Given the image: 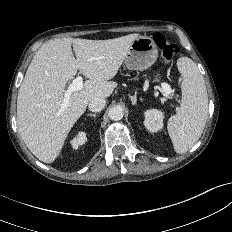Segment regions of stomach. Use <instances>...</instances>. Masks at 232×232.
Segmentation results:
<instances>
[{"mask_svg": "<svg viewBox=\"0 0 232 232\" xmlns=\"http://www.w3.org/2000/svg\"><path fill=\"white\" fill-rule=\"evenodd\" d=\"M158 57L156 43L151 37L139 36L131 44L125 57V65L131 70H146L150 68ZM161 75L154 74L153 82H160Z\"/></svg>", "mask_w": 232, "mask_h": 232, "instance_id": "obj_1", "label": "stomach"}]
</instances>
